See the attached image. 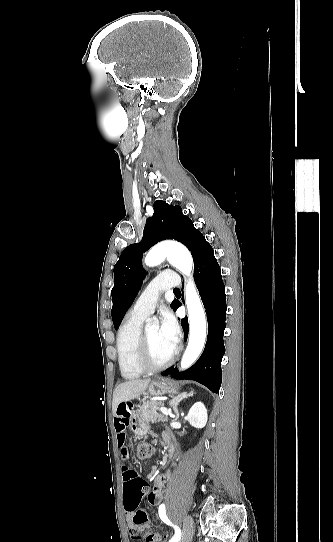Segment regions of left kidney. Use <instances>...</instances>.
<instances>
[{"label":"left kidney","mask_w":333,"mask_h":542,"mask_svg":"<svg viewBox=\"0 0 333 542\" xmlns=\"http://www.w3.org/2000/svg\"><path fill=\"white\" fill-rule=\"evenodd\" d=\"M187 420L193 428H205L208 414L203 402H195V404L191 406Z\"/></svg>","instance_id":"1"}]
</instances>
